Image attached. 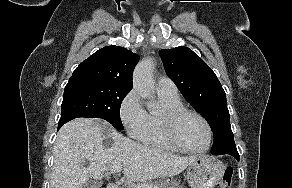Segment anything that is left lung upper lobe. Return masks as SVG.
Wrapping results in <instances>:
<instances>
[{
  "instance_id": "1",
  "label": "left lung upper lobe",
  "mask_w": 292,
  "mask_h": 188,
  "mask_svg": "<svg viewBox=\"0 0 292 188\" xmlns=\"http://www.w3.org/2000/svg\"><path fill=\"white\" fill-rule=\"evenodd\" d=\"M160 55L168 77L208 121L214 135L211 153L235 150L226 94L212 69L187 47L160 50Z\"/></svg>"
}]
</instances>
